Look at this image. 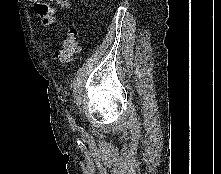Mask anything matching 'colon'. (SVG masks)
I'll use <instances>...</instances> for the list:
<instances>
[{"mask_svg": "<svg viewBox=\"0 0 221 174\" xmlns=\"http://www.w3.org/2000/svg\"><path fill=\"white\" fill-rule=\"evenodd\" d=\"M78 31L75 27L69 26L61 46L55 51V58L60 63H70L79 51L76 42Z\"/></svg>", "mask_w": 221, "mask_h": 174, "instance_id": "5ec220e1", "label": "colon"}]
</instances>
